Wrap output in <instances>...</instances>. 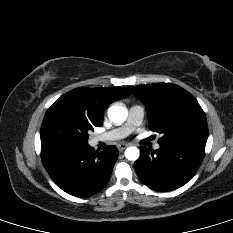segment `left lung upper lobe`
Returning <instances> with one entry per match:
<instances>
[{"label": "left lung upper lobe", "mask_w": 233, "mask_h": 233, "mask_svg": "<svg viewBox=\"0 0 233 233\" xmlns=\"http://www.w3.org/2000/svg\"><path fill=\"white\" fill-rule=\"evenodd\" d=\"M145 105L149 128L162 134L160 145L177 142H202L208 138L204 111L193 95L172 83L129 87Z\"/></svg>", "instance_id": "left-lung-upper-lobe-1"}]
</instances>
